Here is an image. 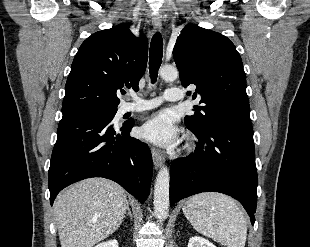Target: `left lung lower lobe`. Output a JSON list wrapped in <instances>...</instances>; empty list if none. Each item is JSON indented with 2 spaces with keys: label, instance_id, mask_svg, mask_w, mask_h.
I'll return each mask as SVG.
<instances>
[{
  "label": "left lung lower lobe",
  "instance_id": "obj_1",
  "mask_svg": "<svg viewBox=\"0 0 310 247\" xmlns=\"http://www.w3.org/2000/svg\"><path fill=\"white\" fill-rule=\"evenodd\" d=\"M192 132L199 140L194 154L171 164L170 205L197 193L221 192L240 201L254 224L258 180L252 125L221 123L204 134Z\"/></svg>",
  "mask_w": 310,
  "mask_h": 247
}]
</instances>
